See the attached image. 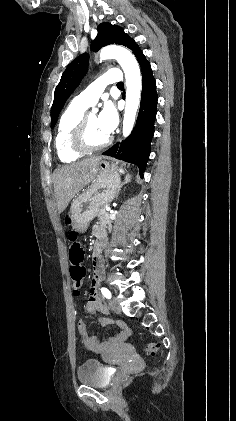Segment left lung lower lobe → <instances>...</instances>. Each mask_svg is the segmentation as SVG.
<instances>
[{"mask_svg": "<svg viewBox=\"0 0 236 421\" xmlns=\"http://www.w3.org/2000/svg\"><path fill=\"white\" fill-rule=\"evenodd\" d=\"M135 54L142 71L141 103L136 125L131 135L123 142L116 143L103 155L115 157L138 166L140 176L143 178L146 163L150 154V143L154 134V121L156 118L157 93L156 83L152 75L150 63L137 46Z\"/></svg>", "mask_w": 236, "mask_h": 421, "instance_id": "0a47b994", "label": "left lung lower lobe"}]
</instances>
